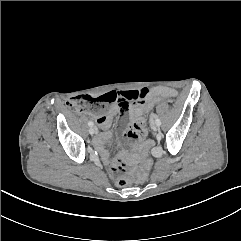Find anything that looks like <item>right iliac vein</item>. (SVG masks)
I'll use <instances>...</instances> for the list:
<instances>
[{
    "label": "right iliac vein",
    "mask_w": 241,
    "mask_h": 241,
    "mask_svg": "<svg viewBox=\"0 0 241 241\" xmlns=\"http://www.w3.org/2000/svg\"><path fill=\"white\" fill-rule=\"evenodd\" d=\"M89 133H90L91 135L96 134V133H97V127H96V126L90 127Z\"/></svg>",
    "instance_id": "right-iliac-vein-1"
}]
</instances>
